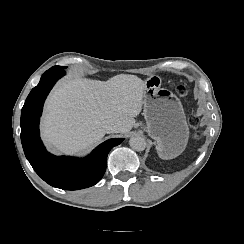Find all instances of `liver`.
I'll return each instance as SVG.
<instances>
[{
	"instance_id": "obj_1",
	"label": "liver",
	"mask_w": 244,
	"mask_h": 244,
	"mask_svg": "<svg viewBox=\"0 0 244 244\" xmlns=\"http://www.w3.org/2000/svg\"><path fill=\"white\" fill-rule=\"evenodd\" d=\"M146 81L118 75L107 82L64 80L50 95L42 122L47 144L63 152H76L105 135L104 123L115 122L128 133L143 107Z\"/></svg>"
}]
</instances>
